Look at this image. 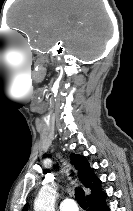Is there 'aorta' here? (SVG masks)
<instances>
[{
  "label": "aorta",
  "mask_w": 133,
  "mask_h": 211,
  "mask_svg": "<svg viewBox=\"0 0 133 211\" xmlns=\"http://www.w3.org/2000/svg\"><path fill=\"white\" fill-rule=\"evenodd\" d=\"M56 190L55 185L43 186L34 202V211H55Z\"/></svg>",
  "instance_id": "obj_1"
}]
</instances>
